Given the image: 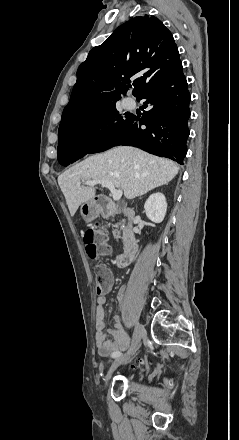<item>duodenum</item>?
<instances>
[{
  "instance_id": "obj_1",
  "label": "duodenum",
  "mask_w": 239,
  "mask_h": 440,
  "mask_svg": "<svg viewBox=\"0 0 239 440\" xmlns=\"http://www.w3.org/2000/svg\"><path fill=\"white\" fill-rule=\"evenodd\" d=\"M96 205L99 212L103 215L114 216L123 214L128 219L127 225L122 230L123 253L116 259V264L119 267H125L132 261L138 250V241L133 231L135 212L132 208L117 204L105 196L97 198Z\"/></svg>"
}]
</instances>
